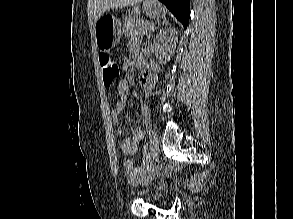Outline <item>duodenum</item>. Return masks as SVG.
<instances>
[{"label":"duodenum","instance_id":"1","mask_svg":"<svg viewBox=\"0 0 293 219\" xmlns=\"http://www.w3.org/2000/svg\"><path fill=\"white\" fill-rule=\"evenodd\" d=\"M139 67H140L141 71H142L144 74L148 75V73H147V71H146V69L144 68L143 65H140Z\"/></svg>","mask_w":293,"mask_h":219}]
</instances>
